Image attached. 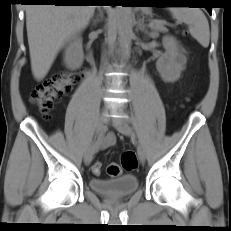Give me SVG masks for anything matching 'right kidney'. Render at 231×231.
<instances>
[{"label":"right kidney","mask_w":231,"mask_h":231,"mask_svg":"<svg viewBox=\"0 0 231 231\" xmlns=\"http://www.w3.org/2000/svg\"><path fill=\"white\" fill-rule=\"evenodd\" d=\"M83 59L82 38L75 36L65 50L64 62L69 69L75 70L81 67Z\"/></svg>","instance_id":"right-kidney-1"}]
</instances>
